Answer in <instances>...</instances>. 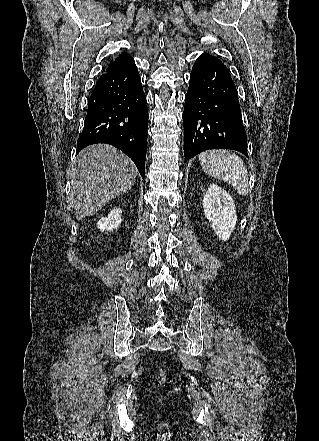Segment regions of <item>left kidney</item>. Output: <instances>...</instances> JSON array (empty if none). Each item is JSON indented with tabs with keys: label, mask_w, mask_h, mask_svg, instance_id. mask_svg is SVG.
Returning <instances> with one entry per match:
<instances>
[{
	"label": "left kidney",
	"mask_w": 319,
	"mask_h": 441,
	"mask_svg": "<svg viewBox=\"0 0 319 441\" xmlns=\"http://www.w3.org/2000/svg\"><path fill=\"white\" fill-rule=\"evenodd\" d=\"M205 217L219 239L226 241L236 227V207L231 196L216 184L209 185L203 197Z\"/></svg>",
	"instance_id": "5707ae66"
}]
</instances>
